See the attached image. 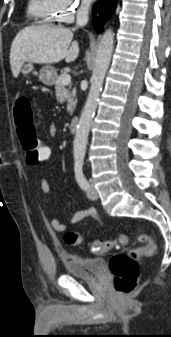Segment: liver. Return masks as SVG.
<instances>
[{
  "label": "liver",
  "mask_w": 171,
  "mask_h": 337,
  "mask_svg": "<svg viewBox=\"0 0 171 337\" xmlns=\"http://www.w3.org/2000/svg\"><path fill=\"white\" fill-rule=\"evenodd\" d=\"M73 30L65 27L30 26L22 29L14 38L10 49V66L18 77L25 62L52 64L63 59L74 61L79 45L73 41Z\"/></svg>",
  "instance_id": "1"
}]
</instances>
